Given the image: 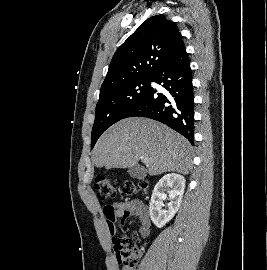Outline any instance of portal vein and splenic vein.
Instances as JSON below:
<instances>
[{"label": "portal vein and splenic vein", "instance_id": "1", "mask_svg": "<svg viewBox=\"0 0 267 270\" xmlns=\"http://www.w3.org/2000/svg\"><path fill=\"white\" fill-rule=\"evenodd\" d=\"M141 160H142V162H143V163H145V164H147V163H148V160H147V159H145L144 157H142V158H141Z\"/></svg>", "mask_w": 267, "mask_h": 270}]
</instances>
